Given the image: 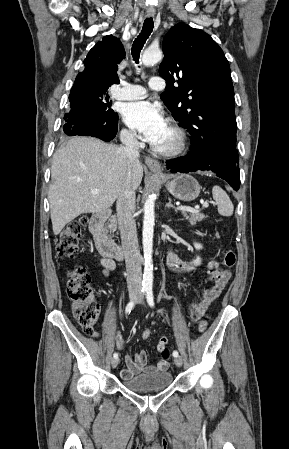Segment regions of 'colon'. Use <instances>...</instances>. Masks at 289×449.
Instances as JSON below:
<instances>
[{
    "label": "colon",
    "instance_id": "obj_1",
    "mask_svg": "<svg viewBox=\"0 0 289 449\" xmlns=\"http://www.w3.org/2000/svg\"><path fill=\"white\" fill-rule=\"evenodd\" d=\"M86 224L87 219L81 217L70 222L62 230L56 242V252L60 257L73 258L76 256ZM235 262V253L232 250H228L224 255L223 264L231 268L235 265ZM90 282V274L81 266L75 267L68 274L67 295L71 300L77 322L88 335L94 333L99 315V307L95 302ZM207 327L208 323L206 320H201L198 324L200 332H204ZM150 336L151 331L149 329L142 332L143 339H148Z\"/></svg>",
    "mask_w": 289,
    "mask_h": 449
}]
</instances>
